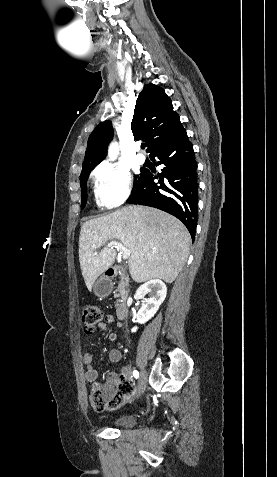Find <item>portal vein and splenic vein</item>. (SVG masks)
Segmentation results:
<instances>
[{
    "label": "portal vein and splenic vein",
    "instance_id": "1",
    "mask_svg": "<svg viewBox=\"0 0 277 477\" xmlns=\"http://www.w3.org/2000/svg\"><path fill=\"white\" fill-rule=\"evenodd\" d=\"M107 246H108L109 248H114V247H115V248L120 249V251H121V253H122V258H123L124 260H127V259L130 257V255H131V251H130L128 248H126V247H125L122 243H120V242L111 241V242L108 243Z\"/></svg>",
    "mask_w": 277,
    "mask_h": 477
}]
</instances>
